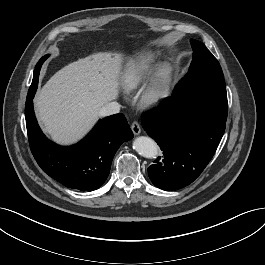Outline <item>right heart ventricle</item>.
Here are the masks:
<instances>
[{"label":"right heart ventricle","mask_w":265,"mask_h":265,"mask_svg":"<svg viewBox=\"0 0 265 265\" xmlns=\"http://www.w3.org/2000/svg\"><path fill=\"white\" fill-rule=\"evenodd\" d=\"M156 63L150 51L136 53L127 63L120 77V87L125 93L135 91L148 77Z\"/></svg>","instance_id":"obj_1"}]
</instances>
